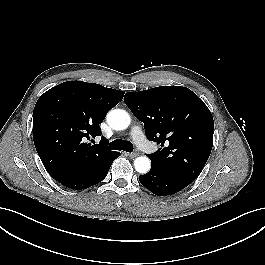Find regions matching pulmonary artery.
<instances>
[{
    "mask_svg": "<svg viewBox=\"0 0 265 265\" xmlns=\"http://www.w3.org/2000/svg\"><path fill=\"white\" fill-rule=\"evenodd\" d=\"M130 137L135 141V143L140 148H145V137L142 131V128L139 125H135L132 127L130 131Z\"/></svg>",
    "mask_w": 265,
    "mask_h": 265,
    "instance_id": "e3ab8cb5",
    "label": "pulmonary artery"
}]
</instances>
